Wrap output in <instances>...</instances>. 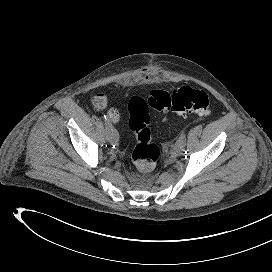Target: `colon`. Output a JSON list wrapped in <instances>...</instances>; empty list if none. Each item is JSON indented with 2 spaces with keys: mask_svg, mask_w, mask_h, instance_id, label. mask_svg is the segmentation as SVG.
<instances>
[{
  "mask_svg": "<svg viewBox=\"0 0 272 272\" xmlns=\"http://www.w3.org/2000/svg\"><path fill=\"white\" fill-rule=\"evenodd\" d=\"M150 109L205 116L210 113L211 99L205 91L190 86H183L173 92L154 90L146 98L141 96L130 98L129 127L136 138L132 161L136 169L142 173L153 171L160 156L159 147L151 140Z\"/></svg>",
  "mask_w": 272,
  "mask_h": 272,
  "instance_id": "colon-1",
  "label": "colon"
}]
</instances>
